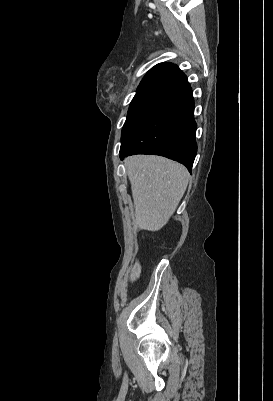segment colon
I'll return each instance as SVG.
<instances>
[{"instance_id": "colon-1", "label": "colon", "mask_w": 273, "mask_h": 401, "mask_svg": "<svg viewBox=\"0 0 273 401\" xmlns=\"http://www.w3.org/2000/svg\"><path fill=\"white\" fill-rule=\"evenodd\" d=\"M142 269H143L142 261H133L132 262V270H131L132 275H134V276L139 275L140 270H142ZM136 284H137V281L134 278H131L129 280H124V285H129L131 287H134V286H136Z\"/></svg>"}]
</instances>
